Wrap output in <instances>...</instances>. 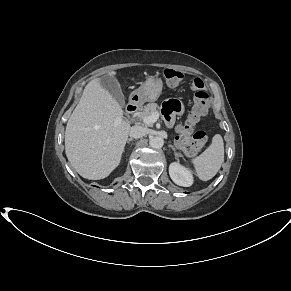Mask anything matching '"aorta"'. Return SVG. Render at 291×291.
I'll return each mask as SVG.
<instances>
[{
    "label": "aorta",
    "instance_id": "aorta-1",
    "mask_svg": "<svg viewBox=\"0 0 291 291\" xmlns=\"http://www.w3.org/2000/svg\"><path fill=\"white\" fill-rule=\"evenodd\" d=\"M163 144H164V140L162 137H159V136L152 137L149 141L150 147L154 149L162 148Z\"/></svg>",
    "mask_w": 291,
    "mask_h": 291
}]
</instances>
